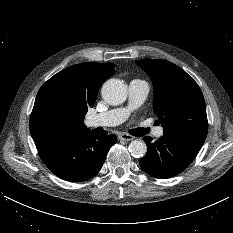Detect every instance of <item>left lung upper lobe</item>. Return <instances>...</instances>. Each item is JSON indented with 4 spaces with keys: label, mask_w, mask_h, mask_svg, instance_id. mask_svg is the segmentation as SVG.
Here are the masks:
<instances>
[{
    "label": "left lung upper lobe",
    "mask_w": 233,
    "mask_h": 233,
    "mask_svg": "<svg viewBox=\"0 0 233 233\" xmlns=\"http://www.w3.org/2000/svg\"><path fill=\"white\" fill-rule=\"evenodd\" d=\"M154 85V112L165 135H189L206 139L208 122L203 94L184 70L158 59L136 61Z\"/></svg>",
    "instance_id": "1"
}]
</instances>
